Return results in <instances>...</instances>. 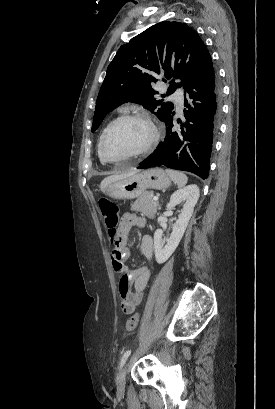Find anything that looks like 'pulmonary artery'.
Listing matches in <instances>:
<instances>
[{"mask_svg":"<svg viewBox=\"0 0 275 409\" xmlns=\"http://www.w3.org/2000/svg\"><path fill=\"white\" fill-rule=\"evenodd\" d=\"M175 100V104L177 105V108L179 111H182L183 108V103H184V97L181 92H177L171 96Z\"/></svg>","mask_w":275,"mask_h":409,"instance_id":"1","label":"pulmonary artery"}]
</instances>
